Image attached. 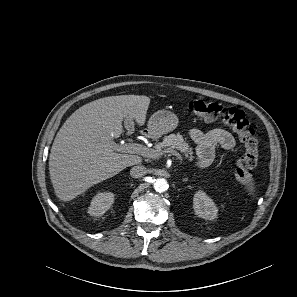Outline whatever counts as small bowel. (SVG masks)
<instances>
[{"mask_svg": "<svg viewBox=\"0 0 297 297\" xmlns=\"http://www.w3.org/2000/svg\"><path fill=\"white\" fill-rule=\"evenodd\" d=\"M189 136L197 144V163L202 167L213 162L217 145L225 150H231L235 144L232 134L222 128H214L208 132L192 128L189 131Z\"/></svg>", "mask_w": 297, "mask_h": 297, "instance_id": "small-bowel-1", "label": "small bowel"}]
</instances>
